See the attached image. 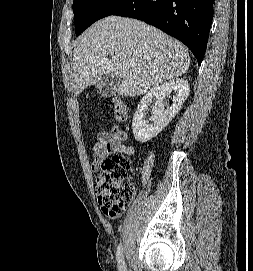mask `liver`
<instances>
[{
    "mask_svg": "<svg viewBox=\"0 0 253 271\" xmlns=\"http://www.w3.org/2000/svg\"><path fill=\"white\" fill-rule=\"evenodd\" d=\"M190 57L179 41L136 19L109 16L74 44L73 88L80 94L104 76L120 78L118 93L145 94L188 71Z\"/></svg>",
    "mask_w": 253,
    "mask_h": 271,
    "instance_id": "liver-1",
    "label": "liver"
}]
</instances>
